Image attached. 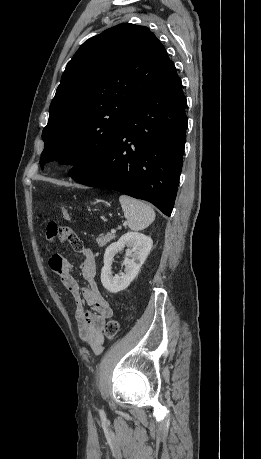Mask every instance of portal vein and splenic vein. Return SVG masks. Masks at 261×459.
<instances>
[{
  "mask_svg": "<svg viewBox=\"0 0 261 459\" xmlns=\"http://www.w3.org/2000/svg\"><path fill=\"white\" fill-rule=\"evenodd\" d=\"M111 233L115 234L116 230L115 229H111Z\"/></svg>",
  "mask_w": 261,
  "mask_h": 459,
  "instance_id": "portal-vein-and-splenic-vein-1",
  "label": "portal vein and splenic vein"
}]
</instances>
